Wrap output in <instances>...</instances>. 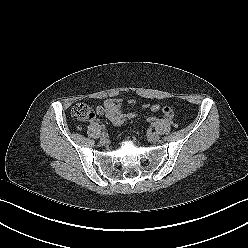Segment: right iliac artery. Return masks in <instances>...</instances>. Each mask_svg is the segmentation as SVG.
I'll return each mask as SVG.
<instances>
[{"label": "right iliac artery", "instance_id": "82829eb1", "mask_svg": "<svg viewBox=\"0 0 248 248\" xmlns=\"http://www.w3.org/2000/svg\"><path fill=\"white\" fill-rule=\"evenodd\" d=\"M101 129L104 131L105 130V125H101Z\"/></svg>", "mask_w": 248, "mask_h": 248}]
</instances>
